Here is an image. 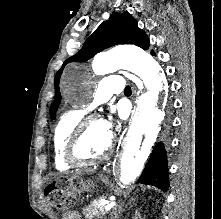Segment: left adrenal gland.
<instances>
[{"label": "left adrenal gland", "instance_id": "1", "mask_svg": "<svg viewBox=\"0 0 221 219\" xmlns=\"http://www.w3.org/2000/svg\"><path fill=\"white\" fill-rule=\"evenodd\" d=\"M123 204H120V205H116L115 206V211L112 212V218L113 219V216H114V219H118L119 218V215H121L122 211H123V208H122Z\"/></svg>", "mask_w": 221, "mask_h": 219}]
</instances>
